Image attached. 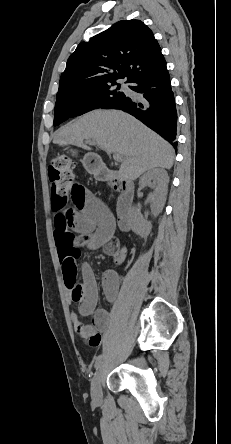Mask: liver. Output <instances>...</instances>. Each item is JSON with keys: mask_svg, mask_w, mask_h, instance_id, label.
<instances>
[{"mask_svg": "<svg viewBox=\"0 0 231 444\" xmlns=\"http://www.w3.org/2000/svg\"><path fill=\"white\" fill-rule=\"evenodd\" d=\"M84 140H93L99 149L120 154V174L135 180L155 168L170 169L173 147L131 115L118 110L91 111L54 134L55 144H70L91 150ZM93 154V153H90Z\"/></svg>", "mask_w": 231, "mask_h": 444, "instance_id": "liver-1", "label": "liver"}]
</instances>
